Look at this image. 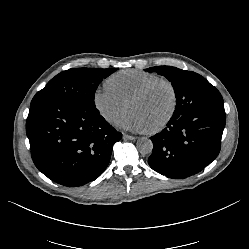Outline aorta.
<instances>
[{
    "label": "aorta",
    "mask_w": 249,
    "mask_h": 249,
    "mask_svg": "<svg viewBox=\"0 0 249 249\" xmlns=\"http://www.w3.org/2000/svg\"><path fill=\"white\" fill-rule=\"evenodd\" d=\"M136 148L137 150L143 154V155H147V154H150L153 150V143L152 141L147 138V137H140L138 140H137V143H136Z\"/></svg>",
    "instance_id": "762f6f07"
}]
</instances>
